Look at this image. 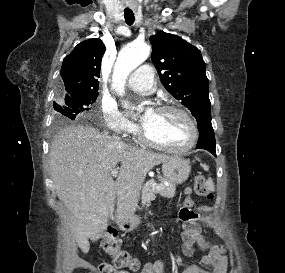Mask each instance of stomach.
Instances as JSON below:
<instances>
[{"instance_id": "stomach-1", "label": "stomach", "mask_w": 285, "mask_h": 273, "mask_svg": "<svg viewBox=\"0 0 285 273\" xmlns=\"http://www.w3.org/2000/svg\"><path fill=\"white\" fill-rule=\"evenodd\" d=\"M190 170L189 162L180 157H171L162 164V172L165 178L175 185L185 182L189 177ZM132 223L135 225L136 220H133Z\"/></svg>"}]
</instances>
